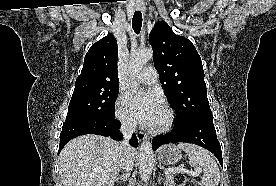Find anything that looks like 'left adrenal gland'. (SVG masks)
Here are the masks:
<instances>
[{
  "instance_id": "a2214340",
  "label": "left adrenal gland",
  "mask_w": 276,
  "mask_h": 186,
  "mask_svg": "<svg viewBox=\"0 0 276 186\" xmlns=\"http://www.w3.org/2000/svg\"><path fill=\"white\" fill-rule=\"evenodd\" d=\"M157 181L158 182L163 181L164 185H167V181L164 178H162V174L161 173H159V177H158Z\"/></svg>"
}]
</instances>
